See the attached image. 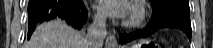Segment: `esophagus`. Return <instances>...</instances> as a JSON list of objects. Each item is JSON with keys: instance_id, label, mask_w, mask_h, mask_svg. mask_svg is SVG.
<instances>
[{"instance_id": "esophagus-1", "label": "esophagus", "mask_w": 213, "mask_h": 48, "mask_svg": "<svg viewBox=\"0 0 213 48\" xmlns=\"http://www.w3.org/2000/svg\"><path fill=\"white\" fill-rule=\"evenodd\" d=\"M107 47L116 48L117 41L114 35H109L106 40Z\"/></svg>"}]
</instances>
